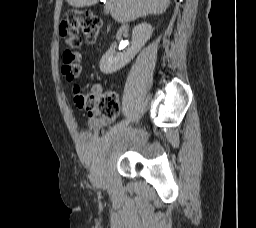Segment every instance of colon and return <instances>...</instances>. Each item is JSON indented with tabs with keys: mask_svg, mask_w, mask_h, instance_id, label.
Returning <instances> with one entry per match:
<instances>
[{
	"mask_svg": "<svg viewBox=\"0 0 256 228\" xmlns=\"http://www.w3.org/2000/svg\"><path fill=\"white\" fill-rule=\"evenodd\" d=\"M101 25L100 18L91 11L67 13L66 19L60 25V34L67 46L63 53L62 73L68 80L77 78L81 71L79 53L77 52L81 45L80 31L89 43H94L99 37ZM74 92L77 106L89 115L98 114L109 119L117 116L119 101L115 92L108 91L98 96L84 94L78 86L75 87Z\"/></svg>",
	"mask_w": 256,
	"mask_h": 228,
	"instance_id": "1",
	"label": "colon"
}]
</instances>
